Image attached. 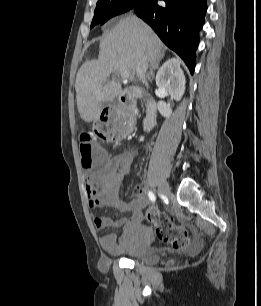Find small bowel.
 I'll return each instance as SVG.
<instances>
[{"instance_id":"small-bowel-1","label":"small bowel","mask_w":261,"mask_h":306,"mask_svg":"<svg viewBox=\"0 0 261 306\" xmlns=\"http://www.w3.org/2000/svg\"><path fill=\"white\" fill-rule=\"evenodd\" d=\"M102 151L97 147L98 152ZM104 152V151H102ZM105 154V152H104ZM134 154L130 151L122 152L113 157L104 155L98 172L88 176L87 193L88 205L91 209L109 206L120 212H129V217H96L95 226L99 230L108 227L121 228V234L107 233L99 238L101 248L111 255H121L132 252L145 241L148 231L142 223L143 210L148 199L140 187L135 189V197L130 201H122L119 192L125 178L130 171ZM96 184L97 188H92Z\"/></svg>"}]
</instances>
